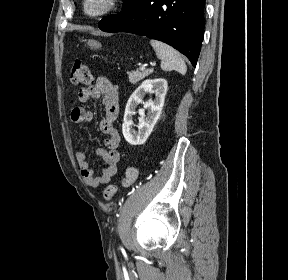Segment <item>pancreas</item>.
Listing matches in <instances>:
<instances>
[{
    "instance_id": "1",
    "label": "pancreas",
    "mask_w": 288,
    "mask_h": 280,
    "mask_svg": "<svg viewBox=\"0 0 288 280\" xmlns=\"http://www.w3.org/2000/svg\"><path fill=\"white\" fill-rule=\"evenodd\" d=\"M151 73H153V69L127 72L129 82L132 84L138 83L140 80L144 79L146 76L150 75Z\"/></svg>"
}]
</instances>
